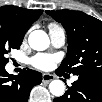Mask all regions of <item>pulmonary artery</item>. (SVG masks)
<instances>
[{"instance_id":"1","label":"pulmonary artery","mask_w":102,"mask_h":102,"mask_svg":"<svg viewBox=\"0 0 102 102\" xmlns=\"http://www.w3.org/2000/svg\"><path fill=\"white\" fill-rule=\"evenodd\" d=\"M51 43L54 47H62L66 41V34L64 30H50L49 32Z\"/></svg>"}]
</instances>
